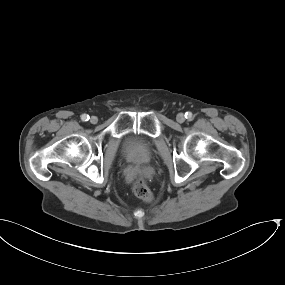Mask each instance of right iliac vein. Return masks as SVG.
<instances>
[{
  "instance_id": "right-iliac-vein-1",
  "label": "right iliac vein",
  "mask_w": 285,
  "mask_h": 285,
  "mask_svg": "<svg viewBox=\"0 0 285 285\" xmlns=\"http://www.w3.org/2000/svg\"><path fill=\"white\" fill-rule=\"evenodd\" d=\"M97 122H98V118H97L96 116H92V117L90 118V123L96 124Z\"/></svg>"
}]
</instances>
